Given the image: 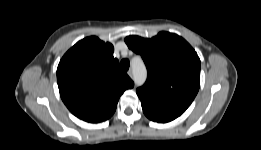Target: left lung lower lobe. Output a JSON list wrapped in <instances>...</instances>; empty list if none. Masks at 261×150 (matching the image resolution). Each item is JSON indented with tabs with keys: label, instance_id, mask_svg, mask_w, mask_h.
Returning <instances> with one entry per match:
<instances>
[{
	"label": "left lung lower lobe",
	"instance_id": "left-lung-lower-lobe-1",
	"mask_svg": "<svg viewBox=\"0 0 261 150\" xmlns=\"http://www.w3.org/2000/svg\"><path fill=\"white\" fill-rule=\"evenodd\" d=\"M143 112L144 114L153 121L156 122H169L177 118V115L171 114L169 112H166L164 110L156 109L151 106L142 104Z\"/></svg>",
	"mask_w": 261,
	"mask_h": 150
}]
</instances>
